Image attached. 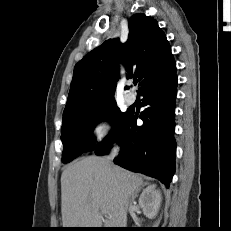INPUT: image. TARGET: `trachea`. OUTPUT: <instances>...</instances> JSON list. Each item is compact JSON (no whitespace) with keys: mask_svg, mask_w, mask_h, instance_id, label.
<instances>
[{"mask_svg":"<svg viewBox=\"0 0 231 231\" xmlns=\"http://www.w3.org/2000/svg\"><path fill=\"white\" fill-rule=\"evenodd\" d=\"M137 82H138L137 80H134V82H133V83H134V85H136V84H137Z\"/></svg>","mask_w":231,"mask_h":231,"instance_id":"trachea-1","label":"trachea"}]
</instances>
